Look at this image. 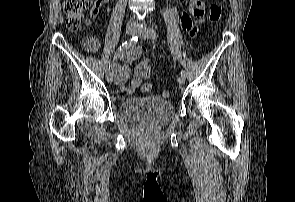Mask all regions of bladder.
Instances as JSON below:
<instances>
[{"label": "bladder", "mask_w": 295, "mask_h": 202, "mask_svg": "<svg viewBox=\"0 0 295 202\" xmlns=\"http://www.w3.org/2000/svg\"><path fill=\"white\" fill-rule=\"evenodd\" d=\"M119 115L132 122L162 125L174 116V107L167 100L148 95L122 101Z\"/></svg>", "instance_id": "31cf9c89"}]
</instances>
